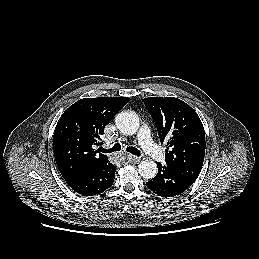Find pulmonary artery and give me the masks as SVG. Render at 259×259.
I'll use <instances>...</instances> for the list:
<instances>
[{
  "label": "pulmonary artery",
  "mask_w": 259,
  "mask_h": 259,
  "mask_svg": "<svg viewBox=\"0 0 259 259\" xmlns=\"http://www.w3.org/2000/svg\"><path fill=\"white\" fill-rule=\"evenodd\" d=\"M139 142L144 151L155 161H161L164 159V154L161 150L152 142L150 136V130L147 126H144L140 130Z\"/></svg>",
  "instance_id": "1"
}]
</instances>
